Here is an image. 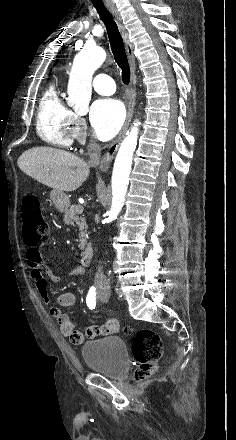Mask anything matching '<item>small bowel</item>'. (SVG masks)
<instances>
[{"label": "small bowel", "instance_id": "1", "mask_svg": "<svg viewBox=\"0 0 236 440\" xmlns=\"http://www.w3.org/2000/svg\"><path fill=\"white\" fill-rule=\"evenodd\" d=\"M26 260L30 269L31 278L35 281V285L41 298L46 302H50L48 280L59 283L64 279L83 275L84 270L78 267L65 276H59L43 264L40 250L36 246L28 245L26 248ZM45 272L46 276L43 274ZM60 307H70L75 303V295L72 292H63L57 298ZM51 317L58 323L60 333L68 337L72 344L80 345L85 338L97 337L100 339H113L114 333L118 329V322L115 319L107 321H99L98 324H90V326L81 332L75 330L74 324L69 315L63 313L59 307H51Z\"/></svg>", "mask_w": 236, "mask_h": 440}]
</instances>
